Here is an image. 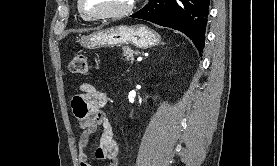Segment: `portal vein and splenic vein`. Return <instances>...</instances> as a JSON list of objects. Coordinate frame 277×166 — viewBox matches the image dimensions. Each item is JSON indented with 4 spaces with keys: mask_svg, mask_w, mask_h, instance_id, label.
Listing matches in <instances>:
<instances>
[{
    "mask_svg": "<svg viewBox=\"0 0 277 166\" xmlns=\"http://www.w3.org/2000/svg\"><path fill=\"white\" fill-rule=\"evenodd\" d=\"M137 61H142V57H138V58H137Z\"/></svg>",
    "mask_w": 277,
    "mask_h": 166,
    "instance_id": "obj_1",
    "label": "portal vein and splenic vein"
}]
</instances>
